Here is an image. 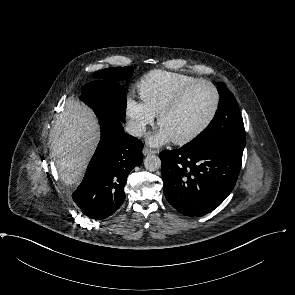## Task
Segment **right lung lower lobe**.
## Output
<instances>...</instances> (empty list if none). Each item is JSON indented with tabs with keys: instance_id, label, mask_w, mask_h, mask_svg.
<instances>
[{
	"instance_id": "obj_1",
	"label": "right lung lower lobe",
	"mask_w": 295,
	"mask_h": 295,
	"mask_svg": "<svg viewBox=\"0 0 295 295\" xmlns=\"http://www.w3.org/2000/svg\"><path fill=\"white\" fill-rule=\"evenodd\" d=\"M101 140L80 186L72 194L82 213L105 219L125 200L124 186L130 171L143 161L142 142L124 134L120 122L99 120Z\"/></svg>"
}]
</instances>
